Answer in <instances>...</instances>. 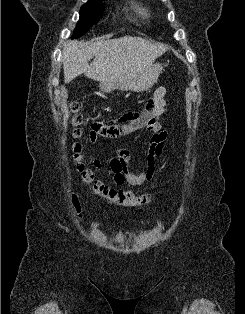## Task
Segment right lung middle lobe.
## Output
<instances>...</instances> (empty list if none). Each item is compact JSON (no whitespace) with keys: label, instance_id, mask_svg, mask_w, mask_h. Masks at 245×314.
I'll return each mask as SVG.
<instances>
[{"label":"right lung middle lobe","instance_id":"obj_1","mask_svg":"<svg viewBox=\"0 0 245 314\" xmlns=\"http://www.w3.org/2000/svg\"><path fill=\"white\" fill-rule=\"evenodd\" d=\"M103 1V0H101ZM101 1L89 0L81 7L80 20L77 23L72 38H78L84 35L101 18L104 6Z\"/></svg>","mask_w":245,"mask_h":314}]
</instances>
